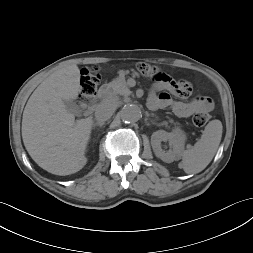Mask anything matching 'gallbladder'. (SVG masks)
I'll list each match as a JSON object with an SVG mask.
<instances>
[{
    "instance_id": "bac80fb5",
    "label": "gallbladder",
    "mask_w": 253,
    "mask_h": 253,
    "mask_svg": "<svg viewBox=\"0 0 253 253\" xmlns=\"http://www.w3.org/2000/svg\"><path fill=\"white\" fill-rule=\"evenodd\" d=\"M66 110L70 113L77 114L79 111V107L76 104V102L70 100V101H64Z\"/></svg>"
}]
</instances>
